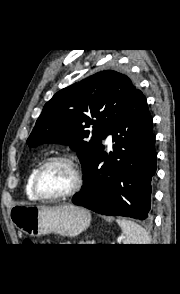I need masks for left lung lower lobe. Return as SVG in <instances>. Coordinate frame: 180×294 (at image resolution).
<instances>
[{
  "instance_id": "obj_1",
  "label": "left lung lower lobe",
  "mask_w": 180,
  "mask_h": 294,
  "mask_svg": "<svg viewBox=\"0 0 180 294\" xmlns=\"http://www.w3.org/2000/svg\"><path fill=\"white\" fill-rule=\"evenodd\" d=\"M152 124L146 98L138 91L106 134H112L113 152L107 155L101 146L72 202L104 215L147 219L157 158Z\"/></svg>"
}]
</instances>
